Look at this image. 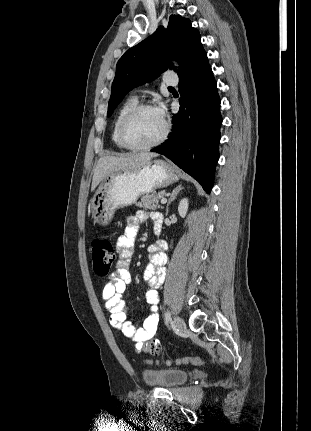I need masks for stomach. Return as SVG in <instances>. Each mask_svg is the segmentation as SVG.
Returning <instances> with one entry per match:
<instances>
[{"instance_id":"1","label":"stomach","mask_w":311,"mask_h":431,"mask_svg":"<svg viewBox=\"0 0 311 431\" xmlns=\"http://www.w3.org/2000/svg\"><path fill=\"white\" fill-rule=\"evenodd\" d=\"M178 180V170L165 160H150L137 172H114L102 180L91 200L92 219L95 225H109L120 208L133 206L141 196H150Z\"/></svg>"}]
</instances>
